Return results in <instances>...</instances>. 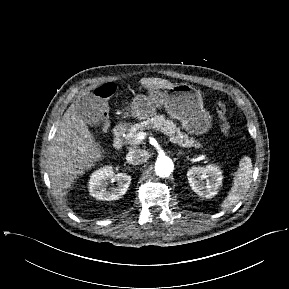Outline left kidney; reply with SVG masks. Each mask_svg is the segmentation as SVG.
<instances>
[{"mask_svg": "<svg viewBox=\"0 0 289 289\" xmlns=\"http://www.w3.org/2000/svg\"><path fill=\"white\" fill-rule=\"evenodd\" d=\"M192 190L200 197L210 199L215 196L222 185V172L216 165L192 167L187 172Z\"/></svg>", "mask_w": 289, "mask_h": 289, "instance_id": "left-kidney-1", "label": "left kidney"}]
</instances>
